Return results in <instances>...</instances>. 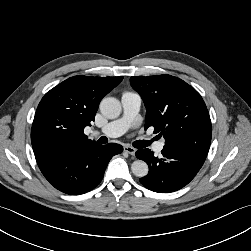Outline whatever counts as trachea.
<instances>
[{
    "instance_id": "1",
    "label": "trachea",
    "mask_w": 251,
    "mask_h": 251,
    "mask_svg": "<svg viewBox=\"0 0 251 251\" xmlns=\"http://www.w3.org/2000/svg\"><path fill=\"white\" fill-rule=\"evenodd\" d=\"M103 138H104V137H101L99 141H102V142H103ZM149 144H150L149 141H144V140H143V141H138V142H137L138 148H144V147L148 146Z\"/></svg>"
}]
</instances>
